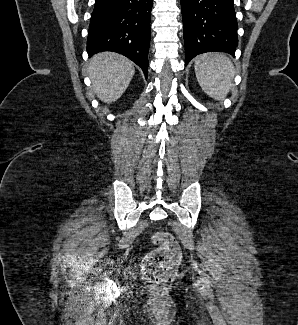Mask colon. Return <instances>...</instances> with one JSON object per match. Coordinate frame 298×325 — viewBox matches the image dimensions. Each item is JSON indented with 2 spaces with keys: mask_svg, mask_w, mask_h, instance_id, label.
<instances>
[{
  "mask_svg": "<svg viewBox=\"0 0 298 325\" xmlns=\"http://www.w3.org/2000/svg\"><path fill=\"white\" fill-rule=\"evenodd\" d=\"M157 248L150 252L141 266L144 281L152 284H167L171 282L178 270L181 260V250L174 237L166 232L154 236Z\"/></svg>",
  "mask_w": 298,
  "mask_h": 325,
  "instance_id": "obj_1",
  "label": "colon"
}]
</instances>
